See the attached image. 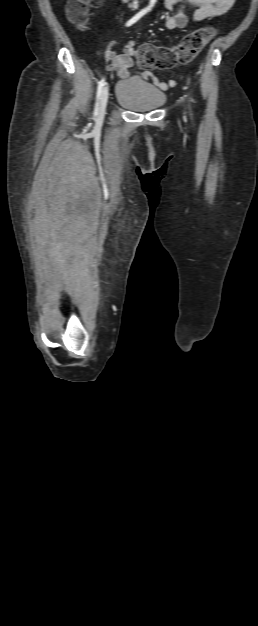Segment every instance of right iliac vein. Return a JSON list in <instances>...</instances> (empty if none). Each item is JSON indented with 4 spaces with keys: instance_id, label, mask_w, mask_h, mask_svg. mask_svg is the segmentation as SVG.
<instances>
[{
    "instance_id": "1",
    "label": "right iliac vein",
    "mask_w": 258,
    "mask_h": 626,
    "mask_svg": "<svg viewBox=\"0 0 258 626\" xmlns=\"http://www.w3.org/2000/svg\"><path fill=\"white\" fill-rule=\"evenodd\" d=\"M109 90L108 86H105L102 91V95L99 103L98 120H101L105 116L107 102H108Z\"/></svg>"
}]
</instances>
